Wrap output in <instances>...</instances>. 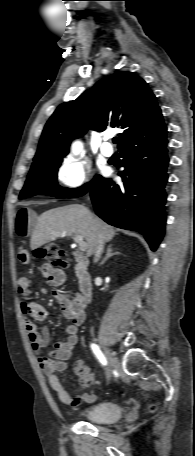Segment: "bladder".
<instances>
[{
  "label": "bladder",
  "mask_w": 195,
  "mask_h": 456,
  "mask_svg": "<svg viewBox=\"0 0 195 456\" xmlns=\"http://www.w3.org/2000/svg\"><path fill=\"white\" fill-rule=\"evenodd\" d=\"M80 415L89 422L96 424H109L122 417V408L114 402H100L88 407Z\"/></svg>",
  "instance_id": "bladder-1"
}]
</instances>
